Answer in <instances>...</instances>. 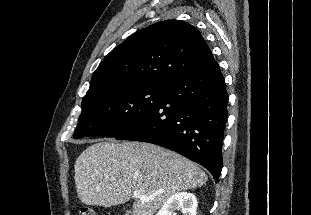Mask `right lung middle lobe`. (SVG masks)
Segmentation results:
<instances>
[{"label":"right lung middle lobe","mask_w":311,"mask_h":215,"mask_svg":"<svg viewBox=\"0 0 311 215\" xmlns=\"http://www.w3.org/2000/svg\"><path fill=\"white\" fill-rule=\"evenodd\" d=\"M163 92V85H136L84 97L74 138L115 137L127 131L160 105Z\"/></svg>","instance_id":"right-lung-middle-lobe-1"}]
</instances>
